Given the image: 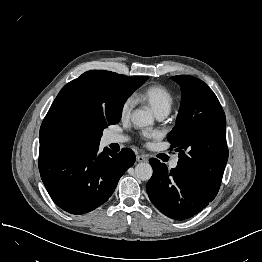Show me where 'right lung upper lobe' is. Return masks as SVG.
Returning <instances> with one entry per match:
<instances>
[{
	"mask_svg": "<svg viewBox=\"0 0 262 262\" xmlns=\"http://www.w3.org/2000/svg\"><path fill=\"white\" fill-rule=\"evenodd\" d=\"M127 78L110 71L91 70L65 85L42 122L40 146L87 143L88 138L79 133L84 114L89 108L103 113L114 110L121 103L119 93ZM127 95L124 99L130 96Z\"/></svg>",
	"mask_w": 262,
	"mask_h": 262,
	"instance_id": "cb5924a9",
	"label": "right lung upper lobe"
}]
</instances>
